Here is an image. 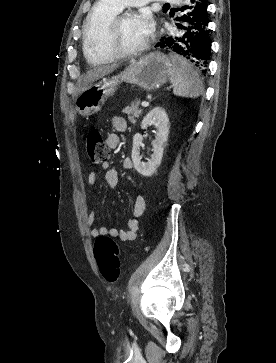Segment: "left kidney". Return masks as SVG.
Masks as SVG:
<instances>
[{
  "instance_id": "5707ae66",
  "label": "left kidney",
  "mask_w": 276,
  "mask_h": 363,
  "mask_svg": "<svg viewBox=\"0 0 276 363\" xmlns=\"http://www.w3.org/2000/svg\"><path fill=\"white\" fill-rule=\"evenodd\" d=\"M150 125H154L157 129L156 138L152 142L153 154L151 158L144 162L140 154V144L143 139L140 133H136L133 137L132 161L135 169L142 176L149 177L154 174L161 164L164 147L169 135V119L167 113L162 107H155L143 119L141 128L146 129Z\"/></svg>"
}]
</instances>
